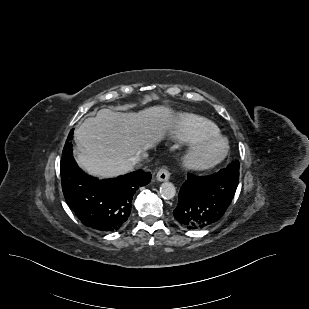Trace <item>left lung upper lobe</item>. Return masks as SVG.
Here are the masks:
<instances>
[{
    "label": "left lung upper lobe",
    "mask_w": 309,
    "mask_h": 309,
    "mask_svg": "<svg viewBox=\"0 0 309 309\" xmlns=\"http://www.w3.org/2000/svg\"><path fill=\"white\" fill-rule=\"evenodd\" d=\"M227 169L239 176V162L234 161L227 166Z\"/></svg>",
    "instance_id": "5c2ea615"
}]
</instances>
